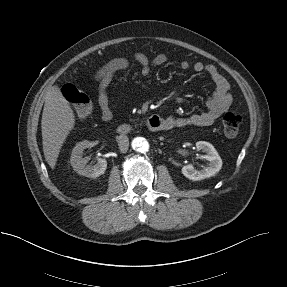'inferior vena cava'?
I'll use <instances>...</instances> for the list:
<instances>
[{
  "mask_svg": "<svg viewBox=\"0 0 287 287\" xmlns=\"http://www.w3.org/2000/svg\"><path fill=\"white\" fill-rule=\"evenodd\" d=\"M117 143L121 152L125 153L129 147V138L126 135H120L117 137Z\"/></svg>",
  "mask_w": 287,
  "mask_h": 287,
  "instance_id": "obj_1",
  "label": "inferior vena cava"
}]
</instances>
